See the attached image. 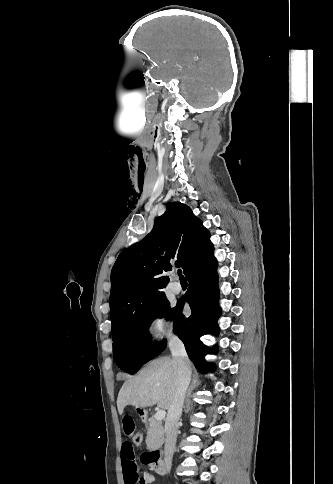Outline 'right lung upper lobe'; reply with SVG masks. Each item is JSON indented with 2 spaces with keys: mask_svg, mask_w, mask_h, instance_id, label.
Here are the masks:
<instances>
[{
  "mask_svg": "<svg viewBox=\"0 0 333 484\" xmlns=\"http://www.w3.org/2000/svg\"><path fill=\"white\" fill-rule=\"evenodd\" d=\"M212 252L210 234L201 220L187 205L168 203L153 230L124 250L112 268V333L133 312L165 295L168 278L163 275L172 269V261L176 260L188 277Z\"/></svg>",
  "mask_w": 333,
  "mask_h": 484,
  "instance_id": "right-lung-upper-lobe-1",
  "label": "right lung upper lobe"
}]
</instances>
